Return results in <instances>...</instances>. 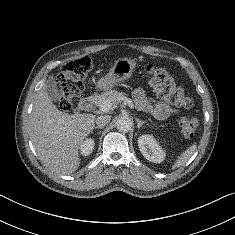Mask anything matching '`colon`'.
Returning <instances> with one entry per match:
<instances>
[{
    "label": "colon",
    "mask_w": 235,
    "mask_h": 235,
    "mask_svg": "<svg viewBox=\"0 0 235 235\" xmlns=\"http://www.w3.org/2000/svg\"><path fill=\"white\" fill-rule=\"evenodd\" d=\"M91 69L92 61L89 57L72 60L63 66L57 77V105L60 110L71 109L74 100L83 91V80ZM145 71L150 85L160 98L178 107L192 106V100L185 95L167 70L148 64ZM179 126L184 136L192 137L199 128V120L194 116H183Z\"/></svg>",
    "instance_id": "5ec220e1"
}]
</instances>
